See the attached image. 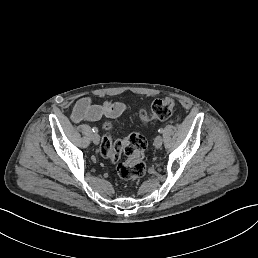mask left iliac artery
Instances as JSON below:
<instances>
[{"mask_svg": "<svg viewBox=\"0 0 258 258\" xmlns=\"http://www.w3.org/2000/svg\"><path fill=\"white\" fill-rule=\"evenodd\" d=\"M163 131H164L163 128H159L158 130L159 133H163Z\"/></svg>", "mask_w": 258, "mask_h": 258, "instance_id": "1", "label": "left iliac artery"}]
</instances>
